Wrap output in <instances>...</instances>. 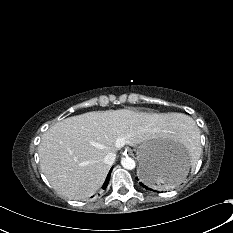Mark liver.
<instances>
[{
	"label": "liver",
	"mask_w": 233,
	"mask_h": 233,
	"mask_svg": "<svg viewBox=\"0 0 233 233\" xmlns=\"http://www.w3.org/2000/svg\"><path fill=\"white\" fill-rule=\"evenodd\" d=\"M178 113H144L128 109L93 111L51 126L38 147L40 167L56 192L86 199L102 186L110 166L108 153L143 141H167L185 119Z\"/></svg>",
	"instance_id": "6515ba94"
}]
</instances>
